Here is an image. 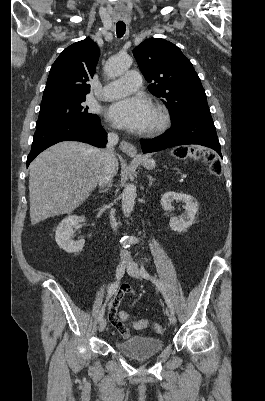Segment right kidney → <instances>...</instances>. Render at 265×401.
I'll list each match as a JSON object with an SVG mask.
<instances>
[{
  "label": "right kidney",
  "mask_w": 265,
  "mask_h": 401,
  "mask_svg": "<svg viewBox=\"0 0 265 401\" xmlns=\"http://www.w3.org/2000/svg\"><path fill=\"white\" fill-rule=\"evenodd\" d=\"M85 217H76V215H70L61 221L57 227L55 241L59 245L60 249L66 251V253H79L85 245L84 239L79 241H73L72 235L74 233L72 227L84 223Z\"/></svg>",
  "instance_id": "right-kidney-1"
}]
</instances>
